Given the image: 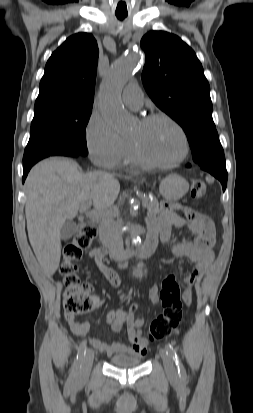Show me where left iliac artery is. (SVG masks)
I'll list each match as a JSON object with an SVG mask.
<instances>
[{"mask_svg": "<svg viewBox=\"0 0 253 413\" xmlns=\"http://www.w3.org/2000/svg\"><path fill=\"white\" fill-rule=\"evenodd\" d=\"M166 347H167L168 353L171 355V357L173 358V360H174V362L177 366L179 377L182 380L186 379V377H187L186 370H185V368H184V366H183V364H182V362H181V360H180V358H179V356L176 352V349L171 344H168Z\"/></svg>", "mask_w": 253, "mask_h": 413, "instance_id": "left-iliac-artery-1", "label": "left iliac artery"}]
</instances>
